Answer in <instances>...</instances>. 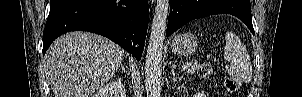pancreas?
Returning <instances> with one entry per match:
<instances>
[{
    "instance_id": "cf45deb5",
    "label": "pancreas",
    "mask_w": 302,
    "mask_h": 97,
    "mask_svg": "<svg viewBox=\"0 0 302 97\" xmlns=\"http://www.w3.org/2000/svg\"><path fill=\"white\" fill-rule=\"evenodd\" d=\"M201 68L199 63H193L187 70V73H194L195 71H198Z\"/></svg>"
}]
</instances>
